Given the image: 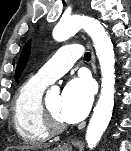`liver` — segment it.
Listing matches in <instances>:
<instances>
[{"label": "liver", "instance_id": "1", "mask_svg": "<svg viewBox=\"0 0 131 151\" xmlns=\"http://www.w3.org/2000/svg\"><path fill=\"white\" fill-rule=\"evenodd\" d=\"M42 147H46V146H42V145H33V146H23V147H18V149H21L22 151L26 150H35V149H41Z\"/></svg>", "mask_w": 131, "mask_h": 151}]
</instances>
